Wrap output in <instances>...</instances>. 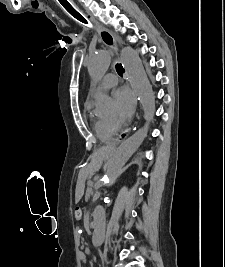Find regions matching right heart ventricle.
I'll list each match as a JSON object with an SVG mask.
<instances>
[{
	"mask_svg": "<svg viewBox=\"0 0 225 267\" xmlns=\"http://www.w3.org/2000/svg\"><path fill=\"white\" fill-rule=\"evenodd\" d=\"M91 118L97 137L103 141H109L114 133L108 129L106 120L95 114H91Z\"/></svg>",
	"mask_w": 225,
	"mask_h": 267,
	"instance_id": "e07e8e85",
	"label": "right heart ventricle"
}]
</instances>
